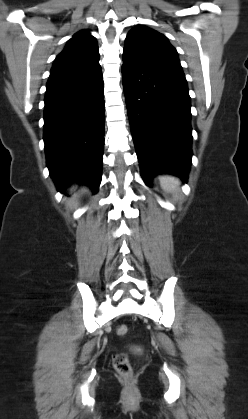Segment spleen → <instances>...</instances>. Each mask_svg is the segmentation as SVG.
<instances>
[{
  "label": "spleen",
  "instance_id": "obj_1",
  "mask_svg": "<svg viewBox=\"0 0 248 419\" xmlns=\"http://www.w3.org/2000/svg\"><path fill=\"white\" fill-rule=\"evenodd\" d=\"M161 187L167 192L176 191L179 186V180L172 176H162L160 178Z\"/></svg>",
  "mask_w": 248,
  "mask_h": 419
}]
</instances>
